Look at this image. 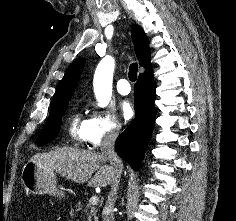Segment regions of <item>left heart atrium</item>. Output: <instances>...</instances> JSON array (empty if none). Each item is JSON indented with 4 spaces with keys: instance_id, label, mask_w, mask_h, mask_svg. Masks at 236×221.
I'll use <instances>...</instances> for the list:
<instances>
[{
    "instance_id": "39dd6f15",
    "label": "left heart atrium",
    "mask_w": 236,
    "mask_h": 221,
    "mask_svg": "<svg viewBox=\"0 0 236 221\" xmlns=\"http://www.w3.org/2000/svg\"><path fill=\"white\" fill-rule=\"evenodd\" d=\"M120 112H121L122 117L126 121L130 120L134 115L133 107L131 103H129L128 101H122L120 103Z\"/></svg>"
}]
</instances>
